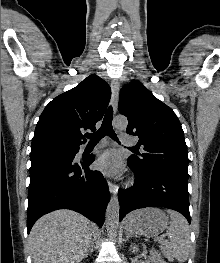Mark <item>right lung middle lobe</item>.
<instances>
[{"instance_id": "right-lung-middle-lobe-1", "label": "right lung middle lobe", "mask_w": 220, "mask_h": 263, "mask_svg": "<svg viewBox=\"0 0 220 263\" xmlns=\"http://www.w3.org/2000/svg\"><path fill=\"white\" fill-rule=\"evenodd\" d=\"M63 151H73L72 149H67V150H63Z\"/></svg>"}]
</instances>
